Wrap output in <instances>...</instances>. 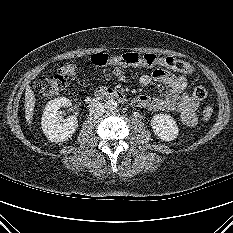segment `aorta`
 <instances>
[{"label": "aorta", "instance_id": "762f6f07", "mask_svg": "<svg viewBox=\"0 0 233 233\" xmlns=\"http://www.w3.org/2000/svg\"><path fill=\"white\" fill-rule=\"evenodd\" d=\"M106 109L109 110V111H113L117 108V102L113 99H110L106 102Z\"/></svg>", "mask_w": 233, "mask_h": 233}]
</instances>
